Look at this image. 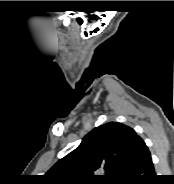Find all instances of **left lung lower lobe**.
Here are the masks:
<instances>
[{
	"mask_svg": "<svg viewBox=\"0 0 174 184\" xmlns=\"http://www.w3.org/2000/svg\"><path fill=\"white\" fill-rule=\"evenodd\" d=\"M154 177L150 152L141 139L128 166L126 178L121 184H150Z\"/></svg>",
	"mask_w": 174,
	"mask_h": 184,
	"instance_id": "obj_1",
	"label": "left lung lower lobe"
}]
</instances>
